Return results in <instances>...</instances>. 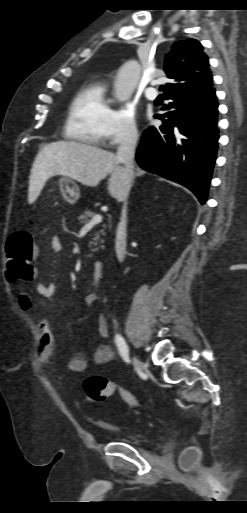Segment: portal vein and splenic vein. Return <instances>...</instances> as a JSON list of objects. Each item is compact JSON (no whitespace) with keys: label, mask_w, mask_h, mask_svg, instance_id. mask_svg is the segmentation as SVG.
I'll list each match as a JSON object with an SVG mask.
<instances>
[{"label":"portal vein and splenic vein","mask_w":247,"mask_h":513,"mask_svg":"<svg viewBox=\"0 0 247 513\" xmlns=\"http://www.w3.org/2000/svg\"><path fill=\"white\" fill-rule=\"evenodd\" d=\"M100 222H102V215L96 214L92 217V219L85 226H87V227L94 226Z\"/></svg>","instance_id":"18ae733b"}]
</instances>
